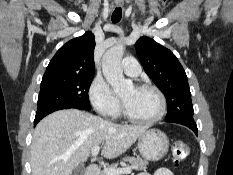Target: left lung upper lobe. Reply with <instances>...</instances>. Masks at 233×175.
Listing matches in <instances>:
<instances>
[{"mask_svg": "<svg viewBox=\"0 0 233 175\" xmlns=\"http://www.w3.org/2000/svg\"><path fill=\"white\" fill-rule=\"evenodd\" d=\"M135 48L145 72L166 97L165 121H194L187 76L177 57L148 37L138 39Z\"/></svg>", "mask_w": 233, "mask_h": 175, "instance_id": "obj_1", "label": "left lung upper lobe"}]
</instances>
